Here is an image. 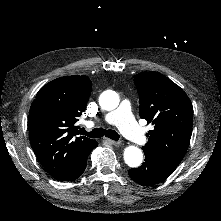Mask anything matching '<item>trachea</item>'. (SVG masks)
<instances>
[{
	"instance_id": "trachea-1",
	"label": "trachea",
	"mask_w": 221,
	"mask_h": 221,
	"mask_svg": "<svg viewBox=\"0 0 221 221\" xmlns=\"http://www.w3.org/2000/svg\"><path fill=\"white\" fill-rule=\"evenodd\" d=\"M78 134L85 135L89 138H101L106 136L112 140L118 141L120 135L114 130H105L103 128H94L92 131L87 132L84 128H80Z\"/></svg>"
}]
</instances>
